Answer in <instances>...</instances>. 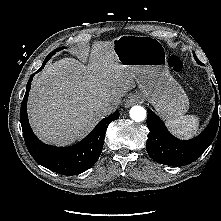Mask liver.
<instances>
[{
  "mask_svg": "<svg viewBox=\"0 0 221 221\" xmlns=\"http://www.w3.org/2000/svg\"><path fill=\"white\" fill-rule=\"evenodd\" d=\"M89 64L63 58L36 78L27 111L34 133L65 146L84 138L106 116L103 104H120L135 88L132 72L119 63L112 42H94Z\"/></svg>",
  "mask_w": 221,
  "mask_h": 221,
  "instance_id": "liver-1",
  "label": "liver"
}]
</instances>
